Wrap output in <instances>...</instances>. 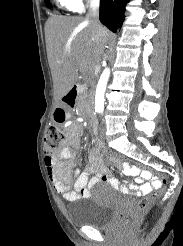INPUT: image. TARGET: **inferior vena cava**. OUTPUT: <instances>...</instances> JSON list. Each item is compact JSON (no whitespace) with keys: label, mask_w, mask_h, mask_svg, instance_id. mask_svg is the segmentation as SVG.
Listing matches in <instances>:
<instances>
[{"label":"inferior vena cava","mask_w":183,"mask_h":246,"mask_svg":"<svg viewBox=\"0 0 183 246\" xmlns=\"http://www.w3.org/2000/svg\"><path fill=\"white\" fill-rule=\"evenodd\" d=\"M99 3L100 0H90L86 20L92 25L99 35H102L103 27L99 22Z\"/></svg>","instance_id":"602c4592"}]
</instances>
